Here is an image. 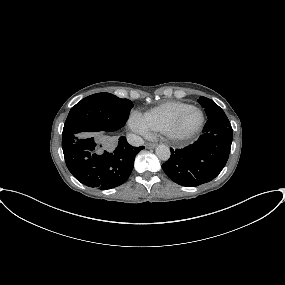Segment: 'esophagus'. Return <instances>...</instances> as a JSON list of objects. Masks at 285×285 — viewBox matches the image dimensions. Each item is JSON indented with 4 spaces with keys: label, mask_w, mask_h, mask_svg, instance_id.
I'll list each match as a JSON object with an SVG mask.
<instances>
[{
    "label": "esophagus",
    "mask_w": 285,
    "mask_h": 285,
    "mask_svg": "<svg viewBox=\"0 0 285 285\" xmlns=\"http://www.w3.org/2000/svg\"><path fill=\"white\" fill-rule=\"evenodd\" d=\"M145 147H146L147 149H152V148H155V147H156V144H155V143H147V144L145 145Z\"/></svg>",
    "instance_id": "obj_1"
}]
</instances>
